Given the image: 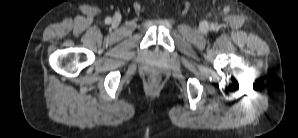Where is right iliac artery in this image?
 Instances as JSON below:
<instances>
[{"label":"right iliac artery","instance_id":"obj_1","mask_svg":"<svg viewBox=\"0 0 298 138\" xmlns=\"http://www.w3.org/2000/svg\"><path fill=\"white\" fill-rule=\"evenodd\" d=\"M105 23H107V24L111 23V18H110V17H107V18L105 19Z\"/></svg>","mask_w":298,"mask_h":138}]
</instances>
